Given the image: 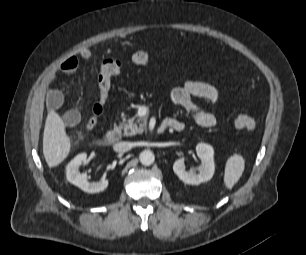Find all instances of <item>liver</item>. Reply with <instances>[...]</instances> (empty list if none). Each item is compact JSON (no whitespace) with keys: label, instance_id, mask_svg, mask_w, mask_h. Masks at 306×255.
<instances>
[{"label":"liver","instance_id":"1","mask_svg":"<svg viewBox=\"0 0 306 255\" xmlns=\"http://www.w3.org/2000/svg\"><path fill=\"white\" fill-rule=\"evenodd\" d=\"M71 139L66 134L61 117L51 110L46 118L43 134V154L47 165L52 168L63 162L70 153Z\"/></svg>","mask_w":306,"mask_h":255}]
</instances>
